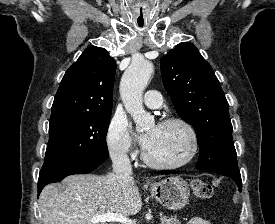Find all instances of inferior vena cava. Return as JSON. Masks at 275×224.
<instances>
[{
    "mask_svg": "<svg viewBox=\"0 0 275 224\" xmlns=\"http://www.w3.org/2000/svg\"><path fill=\"white\" fill-rule=\"evenodd\" d=\"M113 173L121 183L132 182V166L126 151H114L110 154Z\"/></svg>",
    "mask_w": 275,
    "mask_h": 224,
    "instance_id": "1",
    "label": "inferior vena cava"
}]
</instances>
